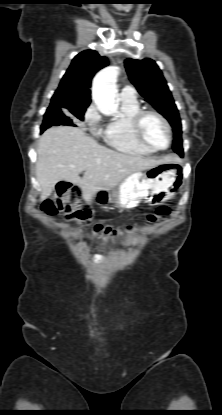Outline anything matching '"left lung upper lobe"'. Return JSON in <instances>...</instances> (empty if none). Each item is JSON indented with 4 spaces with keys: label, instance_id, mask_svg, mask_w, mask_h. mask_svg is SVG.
Instances as JSON below:
<instances>
[{
    "label": "left lung upper lobe",
    "instance_id": "1",
    "mask_svg": "<svg viewBox=\"0 0 222 415\" xmlns=\"http://www.w3.org/2000/svg\"><path fill=\"white\" fill-rule=\"evenodd\" d=\"M125 67L130 81L134 84L138 92L173 127V150L179 155H182L181 120L161 70L152 59L148 58L143 60L126 59Z\"/></svg>",
    "mask_w": 222,
    "mask_h": 415
}]
</instances>
